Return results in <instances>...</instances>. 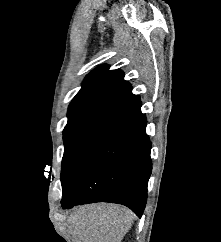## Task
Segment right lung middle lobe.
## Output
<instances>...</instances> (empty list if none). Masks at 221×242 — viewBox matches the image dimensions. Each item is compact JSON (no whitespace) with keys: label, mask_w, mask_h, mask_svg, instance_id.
I'll list each match as a JSON object with an SVG mask.
<instances>
[{"label":"right lung middle lobe","mask_w":221,"mask_h":242,"mask_svg":"<svg viewBox=\"0 0 221 242\" xmlns=\"http://www.w3.org/2000/svg\"><path fill=\"white\" fill-rule=\"evenodd\" d=\"M99 124L86 123L72 126H66L63 131L64 155L62 159V173L66 170L70 159L80 147V145L89 137V135L99 127Z\"/></svg>","instance_id":"obj_1"}]
</instances>
